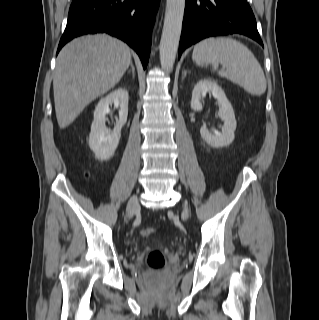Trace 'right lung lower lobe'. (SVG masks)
Wrapping results in <instances>:
<instances>
[{"label": "right lung lower lobe", "mask_w": 319, "mask_h": 320, "mask_svg": "<svg viewBox=\"0 0 319 320\" xmlns=\"http://www.w3.org/2000/svg\"><path fill=\"white\" fill-rule=\"evenodd\" d=\"M160 0H73L57 53L74 37L105 32L130 45L146 68Z\"/></svg>", "instance_id": "1"}]
</instances>
